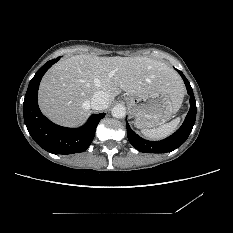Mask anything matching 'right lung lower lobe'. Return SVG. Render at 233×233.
<instances>
[{
    "label": "right lung lower lobe",
    "instance_id": "obj_1",
    "mask_svg": "<svg viewBox=\"0 0 233 233\" xmlns=\"http://www.w3.org/2000/svg\"><path fill=\"white\" fill-rule=\"evenodd\" d=\"M59 59L45 63L30 81L23 103L24 122L31 137L44 150L53 154L79 153L90 146L105 113L92 115L85 125L75 129L58 126L41 113L37 102L39 84L45 72Z\"/></svg>",
    "mask_w": 233,
    "mask_h": 233
}]
</instances>
